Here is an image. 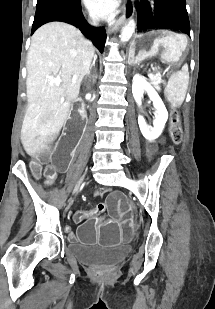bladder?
Here are the masks:
<instances>
[{
  "mask_svg": "<svg viewBox=\"0 0 215 309\" xmlns=\"http://www.w3.org/2000/svg\"><path fill=\"white\" fill-rule=\"evenodd\" d=\"M71 254L80 262L89 266H112L122 261L127 255L124 247H89L77 244L68 246Z\"/></svg>",
  "mask_w": 215,
  "mask_h": 309,
  "instance_id": "bladder-1",
  "label": "bladder"
}]
</instances>
